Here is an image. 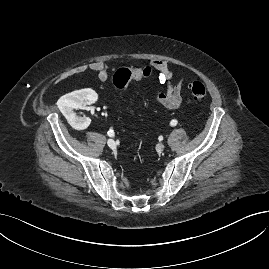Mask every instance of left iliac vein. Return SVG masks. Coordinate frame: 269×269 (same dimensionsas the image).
Wrapping results in <instances>:
<instances>
[{"mask_svg": "<svg viewBox=\"0 0 269 269\" xmlns=\"http://www.w3.org/2000/svg\"><path fill=\"white\" fill-rule=\"evenodd\" d=\"M157 149H158V151L161 152V151H163L165 149V145L160 143V144L157 145Z\"/></svg>", "mask_w": 269, "mask_h": 269, "instance_id": "1", "label": "left iliac vein"}]
</instances>
